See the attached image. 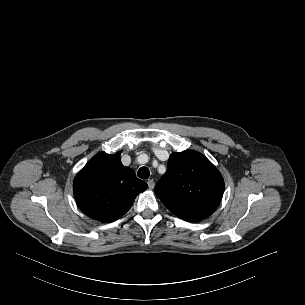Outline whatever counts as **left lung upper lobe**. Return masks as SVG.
<instances>
[{"instance_id":"left-lung-upper-lobe-1","label":"left lung upper lobe","mask_w":305,"mask_h":305,"mask_svg":"<svg viewBox=\"0 0 305 305\" xmlns=\"http://www.w3.org/2000/svg\"><path fill=\"white\" fill-rule=\"evenodd\" d=\"M154 192L176 216L195 222L216 210L223 196L224 180L204 155L186 150L171 154L167 171Z\"/></svg>"}]
</instances>
